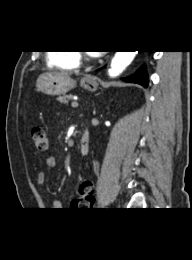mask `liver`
Instances as JSON below:
<instances>
[{"label": "liver", "instance_id": "1", "mask_svg": "<svg viewBox=\"0 0 192 260\" xmlns=\"http://www.w3.org/2000/svg\"><path fill=\"white\" fill-rule=\"evenodd\" d=\"M61 74L69 76L67 73L62 72Z\"/></svg>", "mask_w": 192, "mask_h": 260}]
</instances>
